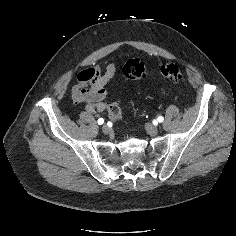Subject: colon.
Listing matches in <instances>:
<instances>
[{"mask_svg":"<svg viewBox=\"0 0 236 236\" xmlns=\"http://www.w3.org/2000/svg\"><path fill=\"white\" fill-rule=\"evenodd\" d=\"M124 75L131 80L142 79L145 75V66L138 59L129 60L124 68ZM161 75L168 81L174 83H180L182 81V73L179 67L173 63H165L160 68ZM108 117L117 121L121 117V107L119 103L113 102L108 107Z\"/></svg>","mask_w":236,"mask_h":236,"instance_id":"obj_1","label":"colon"}]
</instances>
